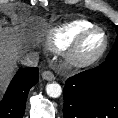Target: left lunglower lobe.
Returning a JSON list of instances; mask_svg holds the SVG:
<instances>
[{
  "label": "left lung lower lobe",
  "mask_w": 118,
  "mask_h": 118,
  "mask_svg": "<svg viewBox=\"0 0 118 118\" xmlns=\"http://www.w3.org/2000/svg\"><path fill=\"white\" fill-rule=\"evenodd\" d=\"M64 118H118V59L66 80Z\"/></svg>",
  "instance_id": "1"
}]
</instances>
